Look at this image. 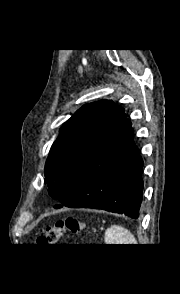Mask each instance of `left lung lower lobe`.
I'll use <instances>...</instances> for the list:
<instances>
[{
  "label": "left lung lower lobe",
  "mask_w": 180,
  "mask_h": 294,
  "mask_svg": "<svg viewBox=\"0 0 180 294\" xmlns=\"http://www.w3.org/2000/svg\"><path fill=\"white\" fill-rule=\"evenodd\" d=\"M142 167L131 122L124 114L76 178L71 190L59 201L67 207L93 208L138 218L143 190Z\"/></svg>",
  "instance_id": "left-lung-lower-lobe-1"
}]
</instances>
